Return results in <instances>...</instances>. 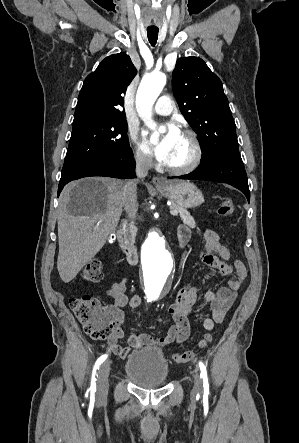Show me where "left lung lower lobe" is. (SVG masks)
<instances>
[{"instance_id": "0a47b994", "label": "left lung lower lobe", "mask_w": 299, "mask_h": 443, "mask_svg": "<svg viewBox=\"0 0 299 443\" xmlns=\"http://www.w3.org/2000/svg\"><path fill=\"white\" fill-rule=\"evenodd\" d=\"M177 178L227 183L242 191L250 202L248 179L243 162L240 160L231 158L212 159L201 163L193 172Z\"/></svg>"}]
</instances>
